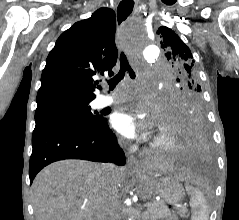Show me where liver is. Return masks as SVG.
<instances>
[{
    "mask_svg": "<svg viewBox=\"0 0 239 220\" xmlns=\"http://www.w3.org/2000/svg\"><path fill=\"white\" fill-rule=\"evenodd\" d=\"M103 165L84 160L57 161L45 167L32 184L36 220H96L98 211L112 216L118 201L117 187L126 176L124 168L113 173L115 190L106 185ZM175 177L189 181L185 170Z\"/></svg>",
    "mask_w": 239,
    "mask_h": 220,
    "instance_id": "obj_1",
    "label": "liver"
}]
</instances>
